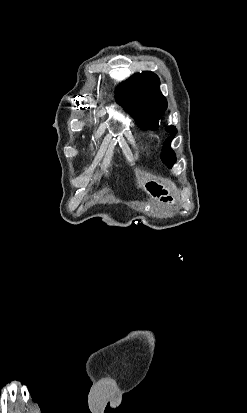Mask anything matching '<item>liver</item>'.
Here are the masks:
<instances>
[{"mask_svg":"<svg viewBox=\"0 0 247 413\" xmlns=\"http://www.w3.org/2000/svg\"><path fill=\"white\" fill-rule=\"evenodd\" d=\"M137 176V184L143 186L147 180H151V178H155L154 174H150V172H143V174H136Z\"/></svg>","mask_w":247,"mask_h":413,"instance_id":"liver-1","label":"liver"}]
</instances>
